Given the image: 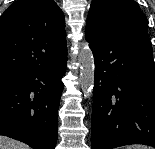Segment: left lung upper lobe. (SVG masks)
<instances>
[{"label": "left lung upper lobe", "mask_w": 155, "mask_h": 149, "mask_svg": "<svg viewBox=\"0 0 155 149\" xmlns=\"http://www.w3.org/2000/svg\"><path fill=\"white\" fill-rule=\"evenodd\" d=\"M148 29V20L134 0H93L86 34L110 36L124 31Z\"/></svg>", "instance_id": "obj_1"}]
</instances>
